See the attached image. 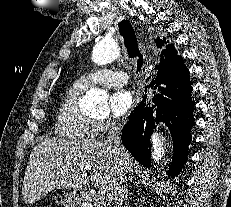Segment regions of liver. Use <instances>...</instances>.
Masks as SVG:
<instances>
[{
	"label": "liver",
	"mask_w": 231,
	"mask_h": 207,
	"mask_svg": "<svg viewBox=\"0 0 231 207\" xmlns=\"http://www.w3.org/2000/svg\"><path fill=\"white\" fill-rule=\"evenodd\" d=\"M126 161V173H129L132 164L128 153ZM118 165L112 149L99 140H42L29 157L22 187L23 200L34 203L53 189H81L88 178L112 198ZM88 171H91L90 177Z\"/></svg>",
	"instance_id": "liver-1"
}]
</instances>
